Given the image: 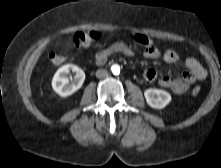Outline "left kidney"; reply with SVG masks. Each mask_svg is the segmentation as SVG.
Wrapping results in <instances>:
<instances>
[{
	"label": "left kidney",
	"instance_id": "left-kidney-1",
	"mask_svg": "<svg viewBox=\"0 0 221 168\" xmlns=\"http://www.w3.org/2000/svg\"><path fill=\"white\" fill-rule=\"evenodd\" d=\"M147 104L154 109H163L171 102V95L161 89L149 88L144 91Z\"/></svg>",
	"mask_w": 221,
	"mask_h": 168
}]
</instances>
